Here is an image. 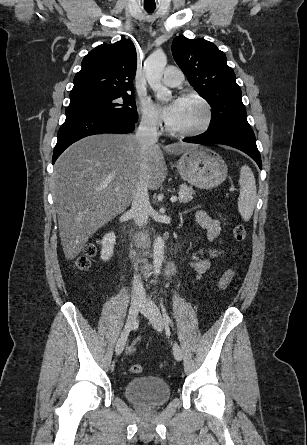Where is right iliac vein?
Returning a JSON list of instances; mask_svg holds the SVG:
<instances>
[{
	"instance_id": "63e3f726",
	"label": "right iliac vein",
	"mask_w": 307,
	"mask_h": 445,
	"mask_svg": "<svg viewBox=\"0 0 307 445\" xmlns=\"http://www.w3.org/2000/svg\"><path fill=\"white\" fill-rule=\"evenodd\" d=\"M141 306H142L141 299L135 298L131 301L130 308H129V315H128V319H127L125 328L116 343V347H115L116 355H120L122 353V351L125 347L128 335H129V331L133 326V323L138 315V312H139Z\"/></svg>"
}]
</instances>
